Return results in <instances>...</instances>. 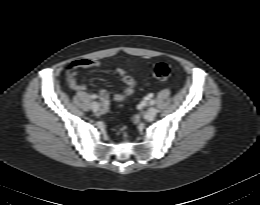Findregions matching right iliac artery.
<instances>
[{
	"label": "right iliac artery",
	"mask_w": 260,
	"mask_h": 205,
	"mask_svg": "<svg viewBox=\"0 0 260 205\" xmlns=\"http://www.w3.org/2000/svg\"><path fill=\"white\" fill-rule=\"evenodd\" d=\"M92 98H96V95H92Z\"/></svg>",
	"instance_id": "1"
}]
</instances>
